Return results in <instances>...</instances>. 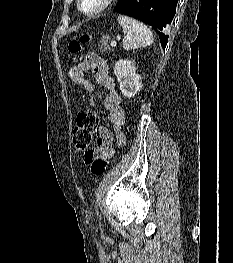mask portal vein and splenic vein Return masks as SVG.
Here are the masks:
<instances>
[{
  "instance_id": "portal-vein-and-splenic-vein-1",
  "label": "portal vein and splenic vein",
  "mask_w": 233,
  "mask_h": 263,
  "mask_svg": "<svg viewBox=\"0 0 233 263\" xmlns=\"http://www.w3.org/2000/svg\"><path fill=\"white\" fill-rule=\"evenodd\" d=\"M110 44H111L112 47H115L116 46V41L112 40Z\"/></svg>"
}]
</instances>
